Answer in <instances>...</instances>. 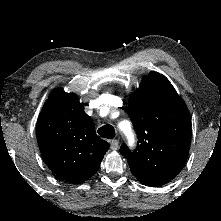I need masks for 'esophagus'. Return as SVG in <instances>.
I'll return each mask as SVG.
<instances>
[{
  "mask_svg": "<svg viewBox=\"0 0 221 221\" xmlns=\"http://www.w3.org/2000/svg\"><path fill=\"white\" fill-rule=\"evenodd\" d=\"M118 146H119V140L114 139V140L111 141V149L112 150H117Z\"/></svg>",
  "mask_w": 221,
  "mask_h": 221,
  "instance_id": "34e87169",
  "label": "esophagus"
}]
</instances>
